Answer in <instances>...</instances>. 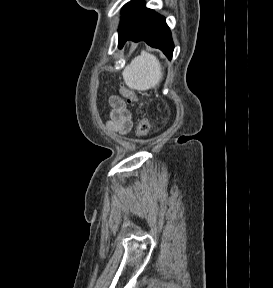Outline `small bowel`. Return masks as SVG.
Wrapping results in <instances>:
<instances>
[{
	"label": "small bowel",
	"mask_w": 273,
	"mask_h": 288,
	"mask_svg": "<svg viewBox=\"0 0 273 288\" xmlns=\"http://www.w3.org/2000/svg\"><path fill=\"white\" fill-rule=\"evenodd\" d=\"M110 120L108 128L119 134H127L133 127V115L126 102L119 96L109 98Z\"/></svg>",
	"instance_id": "obj_1"
}]
</instances>
